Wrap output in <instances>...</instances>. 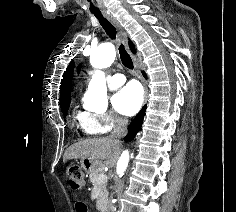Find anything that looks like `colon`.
I'll list each match as a JSON object with an SVG mask.
<instances>
[{
    "label": "colon",
    "instance_id": "obj_1",
    "mask_svg": "<svg viewBox=\"0 0 236 212\" xmlns=\"http://www.w3.org/2000/svg\"><path fill=\"white\" fill-rule=\"evenodd\" d=\"M67 175L69 185L73 190H80L84 186L85 175L84 172L78 166H70L67 170Z\"/></svg>",
    "mask_w": 236,
    "mask_h": 212
}]
</instances>
